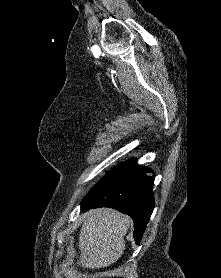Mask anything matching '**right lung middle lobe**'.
<instances>
[{"mask_svg":"<svg viewBox=\"0 0 221 278\" xmlns=\"http://www.w3.org/2000/svg\"><path fill=\"white\" fill-rule=\"evenodd\" d=\"M134 159L132 160H128L124 163L119 164L118 166L114 167L110 172H108L92 189H94L96 186H98L100 183L104 182L105 180H107L108 178H110L111 176H113L115 173H117L119 170H121L122 168L130 165L133 162ZM91 189V190H92ZM90 190V192H91ZM89 192V193H90ZM88 193V194H89Z\"/></svg>","mask_w":221,"mask_h":278,"instance_id":"right-lung-middle-lobe-1","label":"right lung middle lobe"}]
</instances>
